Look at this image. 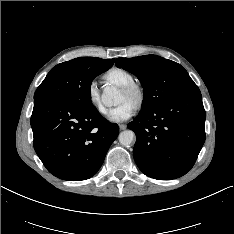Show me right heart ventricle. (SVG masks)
<instances>
[{
    "instance_id": "right-heart-ventricle-1",
    "label": "right heart ventricle",
    "mask_w": 234,
    "mask_h": 234,
    "mask_svg": "<svg viewBox=\"0 0 234 234\" xmlns=\"http://www.w3.org/2000/svg\"><path fill=\"white\" fill-rule=\"evenodd\" d=\"M104 79L117 86V87H122L128 83H131L134 81L133 75L128 72L125 69L122 68H111L104 74Z\"/></svg>"
}]
</instances>
